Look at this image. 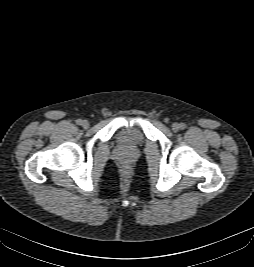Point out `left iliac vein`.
I'll return each mask as SVG.
<instances>
[{"mask_svg": "<svg viewBox=\"0 0 254 267\" xmlns=\"http://www.w3.org/2000/svg\"><path fill=\"white\" fill-rule=\"evenodd\" d=\"M179 124L178 123H173L172 124V130L174 131V132H177L178 130H179Z\"/></svg>", "mask_w": 254, "mask_h": 267, "instance_id": "4c4485c4", "label": "left iliac vein"}]
</instances>
